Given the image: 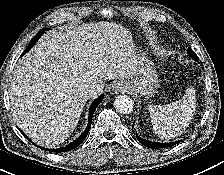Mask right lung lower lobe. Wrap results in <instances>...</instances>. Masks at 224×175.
I'll use <instances>...</instances> for the list:
<instances>
[{"label": "right lung lower lobe", "instance_id": "1", "mask_svg": "<svg viewBox=\"0 0 224 175\" xmlns=\"http://www.w3.org/2000/svg\"><path fill=\"white\" fill-rule=\"evenodd\" d=\"M38 39H35L33 38L30 42V44L28 45V47L26 48V50L24 51V53L22 55H24L26 52H28L32 47L33 45L37 42ZM103 97L104 95H101L99 96L90 106L89 108V119H88V125L85 129V131L76 139L74 140L72 143H70L69 145L65 146V147H61L59 149H45V148H42L40 147L41 149L43 150H48V151H51V152H66V151H70L76 147H78L83 141L84 139L86 138L89 130H90V127H91V123H92V117H93V114L97 108V106L101 103V101L103 100ZM20 132L28 139V137L26 136L25 133H23L21 130ZM29 140V139H28ZM39 147V146H37Z\"/></svg>", "mask_w": 224, "mask_h": 175}]
</instances>
